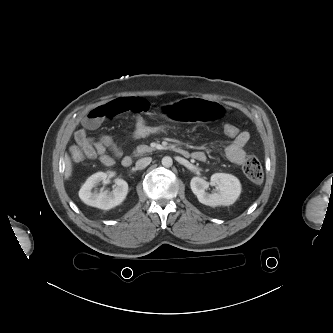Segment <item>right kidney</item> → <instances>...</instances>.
Instances as JSON below:
<instances>
[{
  "mask_svg": "<svg viewBox=\"0 0 333 333\" xmlns=\"http://www.w3.org/2000/svg\"><path fill=\"white\" fill-rule=\"evenodd\" d=\"M115 173L97 172L90 176L82 185L79 191L80 199L87 205L103 210H109L121 204L128 194V184L123 179H116V186L112 192H93L92 189L100 182L106 181L108 175L114 176Z\"/></svg>",
  "mask_w": 333,
  "mask_h": 333,
  "instance_id": "right-kidney-1",
  "label": "right kidney"
}]
</instances>
